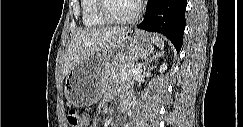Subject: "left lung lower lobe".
I'll return each mask as SVG.
<instances>
[{
	"label": "left lung lower lobe",
	"mask_w": 243,
	"mask_h": 127,
	"mask_svg": "<svg viewBox=\"0 0 243 127\" xmlns=\"http://www.w3.org/2000/svg\"><path fill=\"white\" fill-rule=\"evenodd\" d=\"M187 0H148L144 20L138 28L165 35L179 52L185 29Z\"/></svg>",
	"instance_id": "obj_1"
}]
</instances>
